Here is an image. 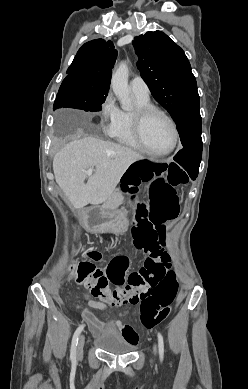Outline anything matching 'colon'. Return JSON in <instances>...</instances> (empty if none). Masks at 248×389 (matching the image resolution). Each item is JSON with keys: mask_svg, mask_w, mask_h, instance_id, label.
<instances>
[{"mask_svg": "<svg viewBox=\"0 0 248 389\" xmlns=\"http://www.w3.org/2000/svg\"><path fill=\"white\" fill-rule=\"evenodd\" d=\"M186 173L177 161H151L150 157H139L132 161L122 176L124 192L132 186L150 182V203L138 206L137 221L131 235L136 250L147 255L142 267L127 273L131 261L127 256L113 258L107 267V276L97 265L101 255L88 253L90 260L81 262L74 270L81 286H86L92 295L114 305L140 301L139 318L143 327L151 329L163 322L171 312L179 284L171 270L166 245V224L179 213L176 187L186 182ZM107 278L117 284L126 285L122 292L107 287Z\"/></svg>", "mask_w": 248, "mask_h": 389, "instance_id": "obj_1", "label": "colon"}]
</instances>
